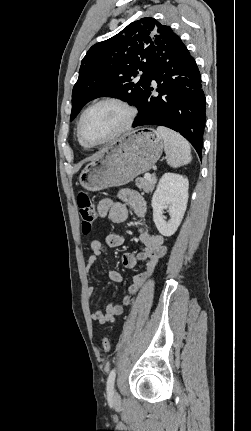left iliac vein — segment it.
<instances>
[{
  "label": "left iliac vein",
  "mask_w": 251,
  "mask_h": 431,
  "mask_svg": "<svg viewBox=\"0 0 251 431\" xmlns=\"http://www.w3.org/2000/svg\"><path fill=\"white\" fill-rule=\"evenodd\" d=\"M114 400H115V401H118V400H119V395H118V393H117V392H115V394H114Z\"/></svg>",
  "instance_id": "obj_1"
}]
</instances>
